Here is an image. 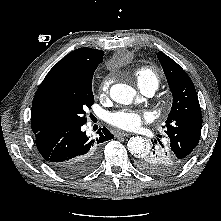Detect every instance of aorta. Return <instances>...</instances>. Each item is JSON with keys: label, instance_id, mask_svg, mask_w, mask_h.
I'll return each mask as SVG.
<instances>
[{"label": "aorta", "instance_id": "762f6f07", "mask_svg": "<svg viewBox=\"0 0 221 221\" xmlns=\"http://www.w3.org/2000/svg\"><path fill=\"white\" fill-rule=\"evenodd\" d=\"M136 96V91L126 84H115L110 89V97L113 101L128 105ZM128 151L137 158H141L149 152V145L141 136L132 137L127 144Z\"/></svg>", "mask_w": 221, "mask_h": 221}]
</instances>
